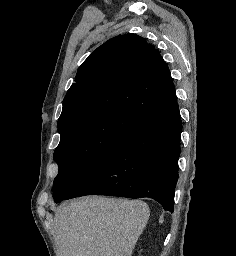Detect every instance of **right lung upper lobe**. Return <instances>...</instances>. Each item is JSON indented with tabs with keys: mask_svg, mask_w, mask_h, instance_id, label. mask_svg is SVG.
<instances>
[{
	"mask_svg": "<svg viewBox=\"0 0 236 256\" xmlns=\"http://www.w3.org/2000/svg\"><path fill=\"white\" fill-rule=\"evenodd\" d=\"M177 103L160 52L136 34L116 36L79 68L68 90L58 130L99 115L126 111L144 122Z\"/></svg>",
	"mask_w": 236,
	"mask_h": 256,
	"instance_id": "obj_1",
	"label": "right lung upper lobe"
}]
</instances>
